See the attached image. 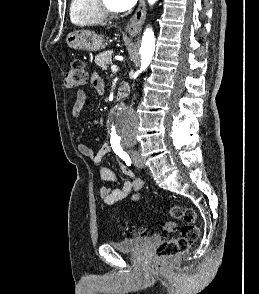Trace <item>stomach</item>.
Segmentation results:
<instances>
[{"instance_id":"stomach-1","label":"stomach","mask_w":259,"mask_h":294,"mask_svg":"<svg viewBox=\"0 0 259 294\" xmlns=\"http://www.w3.org/2000/svg\"><path fill=\"white\" fill-rule=\"evenodd\" d=\"M66 43L75 50L99 51L104 46V39L94 32L81 30L69 33Z\"/></svg>"}]
</instances>
